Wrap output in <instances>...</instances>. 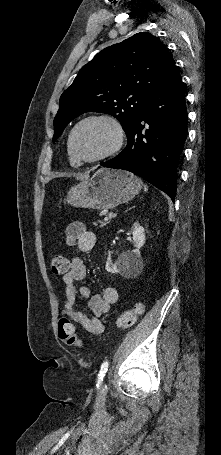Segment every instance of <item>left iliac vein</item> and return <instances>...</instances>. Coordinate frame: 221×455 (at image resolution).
Listing matches in <instances>:
<instances>
[{
	"label": "left iliac vein",
	"instance_id": "obj_1",
	"mask_svg": "<svg viewBox=\"0 0 221 455\" xmlns=\"http://www.w3.org/2000/svg\"><path fill=\"white\" fill-rule=\"evenodd\" d=\"M101 390H102V391H104V390H105L104 386H102V387H101Z\"/></svg>",
	"mask_w": 221,
	"mask_h": 455
}]
</instances>
